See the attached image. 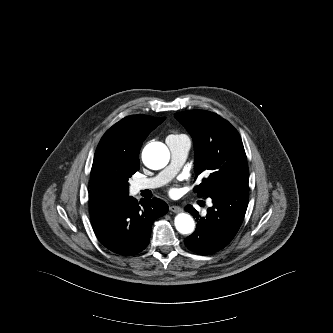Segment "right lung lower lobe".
<instances>
[{
    "instance_id": "obj_1",
    "label": "right lung lower lobe",
    "mask_w": 333,
    "mask_h": 333,
    "mask_svg": "<svg viewBox=\"0 0 333 333\" xmlns=\"http://www.w3.org/2000/svg\"><path fill=\"white\" fill-rule=\"evenodd\" d=\"M168 211V205L154 198L140 205L128 195L118 199L91 203L90 215L98 240L109 250L132 255L149 243L154 220Z\"/></svg>"
}]
</instances>
